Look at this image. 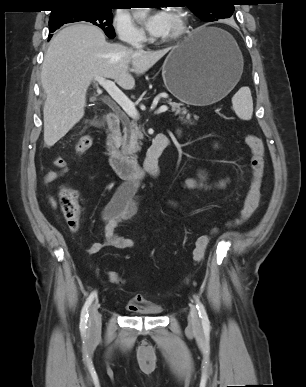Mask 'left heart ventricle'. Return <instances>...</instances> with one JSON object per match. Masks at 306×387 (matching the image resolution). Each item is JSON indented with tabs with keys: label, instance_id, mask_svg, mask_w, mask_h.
Segmentation results:
<instances>
[{
	"label": "left heart ventricle",
	"instance_id": "b2bd125f",
	"mask_svg": "<svg viewBox=\"0 0 306 387\" xmlns=\"http://www.w3.org/2000/svg\"><path fill=\"white\" fill-rule=\"evenodd\" d=\"M169 14H170V30L167 36L171 35L175 31L177 26V19L171 13Z\"/></svg>",
	"mask_w": 306,
	"mask_h": 387
}]
</instances>
